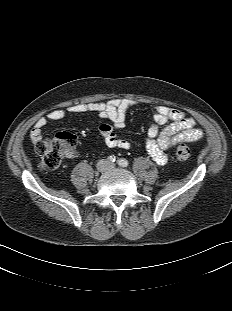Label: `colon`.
I'll use <instances>...</instances> for the list:
<instances>
[{
	"label": "colon",
	"instance_id": "colon-1",
	"mask_svg": "<svg viewBox=\"0 0 232 311\" xmlns=\"http://www.w3.org/2000/svg\"><path fill=\"white\" fill-rule=\"evenodd\" d=\"M74 144V136L67 132L36 142L35 152L40 159V166L45 170L58 168L63 158L72 150ZM190 154V148L187 145L178 144L176 147V157L179 160H188Z\"/></svg>",
	"mask_w": 232,
	"mask_h": 311
}]
</instances>
